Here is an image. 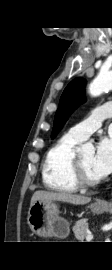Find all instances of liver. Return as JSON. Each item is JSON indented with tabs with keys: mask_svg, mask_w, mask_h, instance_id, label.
<instances>
[{
	"mask_svg": "<svg viewBox=\"0 0 112 270\" xmlns=\"http://www.w3.org/2000/svg\"><path fill=\"white\" fill-rule=\"evenodd\" d=\"M38 200L61 201L74 205H84L91 201V197L75 195L66 192L36 191L31 198V205Z\"/></svg>",
	"mask_w": 112,
	"mask_h": 270,
	"instance_id": "obj_1",
	"label": "liver"
}]
</instances>
